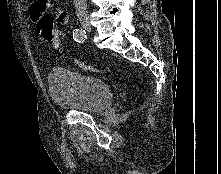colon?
<instances>
[{"label":"colon","mask_w":221,"mask_h":174,"mask_svg":"<svg viewBox=\"0 0 221 174\" xmlns=\"http://www.w3.org/2000/svg\"><path fill=\"white\" fill-rule=\"evenodd\" d=\"M37 34L42 40L53 43L58 51H63V46L60 42L61 33L54 26L53 19L50 15H44L40 18L36 25ZM79 68L85 71L101 72V69L84 62L76 61Z\"/></svg>","instance_id":"colon-1"}]
</instances>
